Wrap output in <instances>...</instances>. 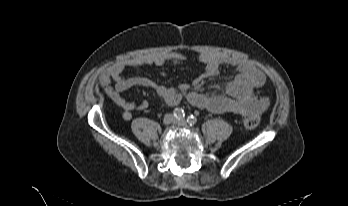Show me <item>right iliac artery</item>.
<instances>
[{
  "mask_svg": "<svg viewBox=\"0 0 348 206\" xmlns=\"http://www.w3.org/2000/svg\"><path fill=\"white\" fill-rule=\"evenodd\" d=\"M174 117L178 120L182 119L185 116L184 110H182L181 108H176L173 111Z\"/></svg>",
  "mask_w": 348,
  "mask_h": 206,
  "instance_id": "1",
  "label": "right iliac artery"
}]
</instances>
